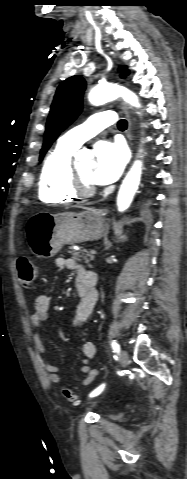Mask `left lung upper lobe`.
Masks as SVG:
<instances>
[{"label":"left lung upper lobe","mask_w":187,"mask_h":479,"mask_svg":"<svg viewBox=\"0 0 187 479\" xmlns=\"http://www.w3.org/2000/svg\"><path fill=\"white\" fill-rule=\"evenodd\" d=\"M118 70L122 72V78L129 73L126 66H120ZM85 88L86 82L82 76H72L59 85L47 120L40 160L58 135L80 114Z\"/></svg>","instance_id":"left-lung-upper-lobe-1"}]
</instances>
